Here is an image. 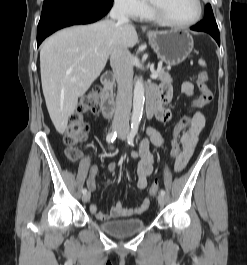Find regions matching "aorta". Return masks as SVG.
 Segmentation results:
<instances>
[{
	"label": "aorta",
	"instance_id": "aorta-1",
	"mask_svg": "<svg viewBox=\"0 0 247 265\" xmlns=\"http://www.w3.org/2000/svg\"><path fill=\"white\" fill-rule=\"evenodd\" d=\"M144 84L142 78H137L133 92V111L131 117V124L138 126L142 118L144 107Z\"/></svg>",
	"mask_w": 247,
	"mask_h": 265
}]
</instances>
